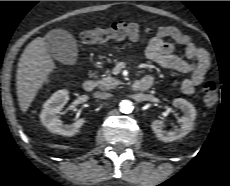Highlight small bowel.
I'll use <instances>...</instances> for the list:
<instances>
[{
	"label": "small bowel",
	"instance_id": "1",
	"mask_svg": "<svg viewBox=\"0 0 230 186\" xmlns=\"http://www.w3.org/2000/svg\"><path fill=\"white\" fill-rule=\"evenodd\" d=\"M171 39L185 50V59L177 56ZM146 55L164 68L189 74L180 85L181 92L191 94L204 81L210 67L208 53L175 26L158 27L146 46Z\"/></svg>",
	"mask_w": 230,
	"mask_h": 186
}]
</instances>
